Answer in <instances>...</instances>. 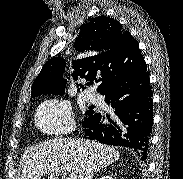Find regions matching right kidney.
I'll return each instance as SVG.
<instances>
[{
	"label": "right kidney",
	"instance_id": "obj_1",
	"mask_svg": "<svg viewBox=\"0 0 183 179\" xmlns=\"http://www.w3.org/2000/svg\"><path fill=\"white\" fill-rule=\"evenodd\" d=\"M99 179H114L112 176H108V175H106V176H102L101 178H99Z\"/></svg>",
	"mask_w": 183,
	"mask_h": 179
}]
</instances>
